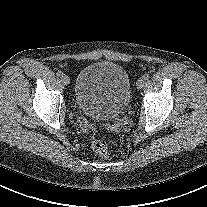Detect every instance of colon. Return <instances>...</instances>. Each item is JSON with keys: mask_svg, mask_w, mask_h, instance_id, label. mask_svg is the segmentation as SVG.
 I'll use <instances>...</instances> for the list:
<instances>
[{"mask_svg": "<svg viewBox=\"0 0 207 207\" xmlns=\"http://www.w3.org/2000/svg\"><path fill=\"white\" fill-rule=\"evenodd\" d=\"M91 146L94 152L102 158H108L111 155L110 146L103 140L93 137L91 139Z\"/></svg>", "mask_w": 207, "mask_h": 207, "instance_id": "5ec220e1", "label": "colon"}]
</instances>
